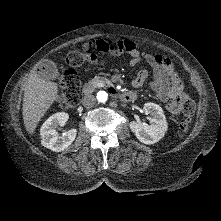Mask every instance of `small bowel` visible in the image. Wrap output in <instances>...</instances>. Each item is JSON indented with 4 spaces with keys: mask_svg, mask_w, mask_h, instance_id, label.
Wrapping results in <instances>:
<instances>
[{
    "mask_svg": "<svg viewBox=\"0 0 221 221\" xmlns=\"http://www.w3.org/2000/svg\"><path fill=\"white\" fill-rule=\"evenodd\" d=\"M85 50H96L113 56L128 54L131 57L130 66L145 62L153 70L151 87L159 100L166 103L167 110L172 114L181 112L187 95L184 92V85L175 72L171 60L161 55H153L141 52L136 44L129 40L91 39L84 45ZM149 76L145 69L141 70L132 81V86L139 88Z\"/></svg>",
    "mask_w": 221,
    "mask_h": 221,
    "instance_id": "c3829d8e",
    "label": "small bowel"
}]
</instances>
